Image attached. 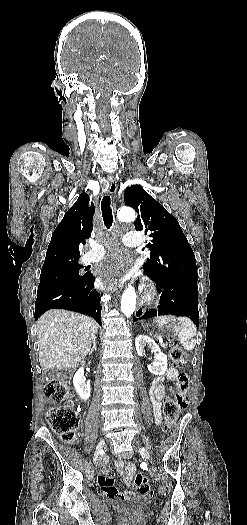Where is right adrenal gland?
Segmentation results:
<instances>
[{"instance_id":"1","label":"right adrenal gland","mask_w":247,"mask_h":525,"mask_svg":"<svg viewBox=\"0 0 247 525\" xmlns=\"http://www.w3.org/2000/svg\"><path fill=\"white\" fill-rule=\"evenodd\" d=\"M96 339H97V337H94V339H93V347H92V349H90L89 355H91V353H93V351H97V349H96Z\"/></svg>"}]
</instances>
